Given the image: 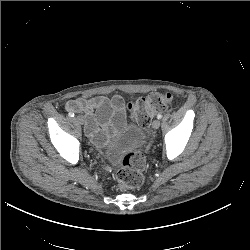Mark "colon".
<instances>
[{"mask_svg": "<svg viewBox=\"0 0 250 250\" xmlns=\"http://www.w3.org/2000/svg\"><path fill=\"white\" fill-rule=\"evenodd\" d=\"M173 96L168 92H154L146 97L137 98L130 105L132 118L143 128H147L155 113L168 110ZM145 158L139 151L125 154L121 166L115 174L118 188L128 189L139 187L144 180Z\"/></svg>", "mask_w": 250, "mask_h": 250, "instance_id": "1", "label": "colon"}]
</instances>
